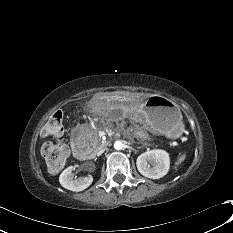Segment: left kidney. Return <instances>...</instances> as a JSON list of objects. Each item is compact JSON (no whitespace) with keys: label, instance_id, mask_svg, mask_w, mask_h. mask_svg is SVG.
I'll use <instances>...</instances> for the list:
<instances>
[{"label":"left kidney","instance_id":"left-kidney-1","mask_svg":"<svg viewBox=\"0 0 233 233\" xmlns=\"http://www.w3.org/2000/svg\"><path fill=\"white\" fill-rule=\"evenodd\" d=\"M136 165L143 176L150 179H159L169 171V154L161 149L148 150L138 156Z\"/></svg>","mask_w":233,"mask_h":233}]
</instances>
